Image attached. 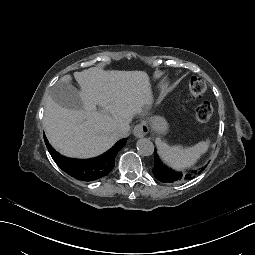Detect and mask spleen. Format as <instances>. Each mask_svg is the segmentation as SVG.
<instances>
[{"label": "spleen", "instance_id": "1", "mask_svg": "<svg viewBox=\"0 0 255 255\" xmlns=\"http://www.w3.org/2000/svg\"><path fill=\"white\" fill-rule=\"evenodd\" d=\"M156 142L162 159L176 169L191 166L208 149V143L205 141L184 148L177 145L170 146L161 139H157Z\"/></svg>", "mask_w": 255, "mask_h": 255}]
</instances>
